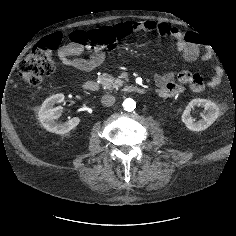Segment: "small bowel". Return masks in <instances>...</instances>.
Returning a JSON list of instances; mask_svg holds the SVG:
<instances>
[{"mask_svg": "<svg viewBox=\"0 0 236 236\" xmlns=\"http://www.w3.org/2000/svg\"><path fill=\"white\" fill-rule=\"evenodd\" d=\"M132 31L154 32L161 37H171L176 42L177 51L182 58L187 61H193L200 55L197 46L196 34L193 32H183L178 27L170 26L166 22L145 20L129 23ZM83 53V47L75 42L61 45L57 50V55L61 62L69 67L76 68L80 71L90 72L99 66L105 60L104 51L93 52L89 57H80ZM208 57V55H205ZM222 80V71L216 70L210 80V87H216ZM154 82L156 92L164 98L178 96L184 92V85H187L193 92H201L205 88L203 78L198 73L188 70L173 72H160L155 74Z\"/></svg>", "mask_w": 236, "mask_h": 236, "instance_id": "1", "label": "small bowel"}]
</instances>
